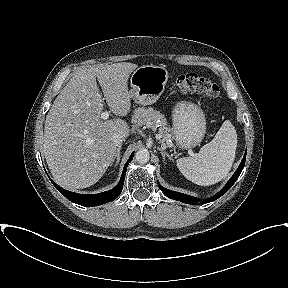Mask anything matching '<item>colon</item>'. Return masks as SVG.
<instances>
[{
  "mask_svg": "<svg viewBox=\"0 0 288 288\" xmlns=\"http://www.w3.org/2000/svg\"><path fill=\"white\" fill-rule=\"evenodd\" d=\"M174 86L183 93H199L206 98L214 99L219 95V87L210 79L196 73L179 76Z\"/></svg>",
  "mask_w": 288,
  "mask_h": 288,
  "instance_id": "obj_1",
  "label": "colon"
}]
</instances>
